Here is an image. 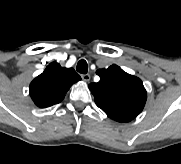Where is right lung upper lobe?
<instances>
[{"mask_svg": "<svg viewBox=\"0 0 181 164\" xmlns=\"http://www.w3.org/2000/svg\"><path fill=\"white\" fill-rule=\"evenodd\" d=\"M81 77L73 68H63L52 62L30 84V96L40 108H46L63 100L65 93Z\"/></svg>", "mask_w": 181, "mask_h": 164, "instance_id": "cb5924a9", "label": "right lung upper lobe"}]
</instances>
